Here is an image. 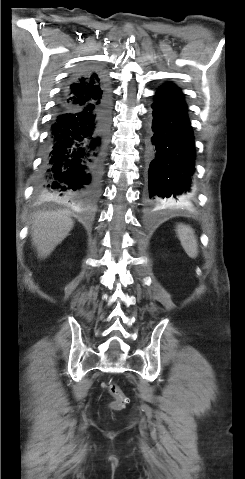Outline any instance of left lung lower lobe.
<instances>
[{
    "label": "left lung lower lobe",
    "instance_id": "obj_1",
    "mask_svg": "<svg viewBox=\"0 0 245 479\" xmlns=\"http://www.w3.org/2000/svg\"><path fill=\"white\" fill-rule=\"evenodd\" d=\"M152 160L147 172L146 200L152 205L175 204L192 197L194 136L181 90L162 85L152 105Z\"/></svg>",
    "mask_w": 245,
    "mask_h": 479
}]
</instances>
